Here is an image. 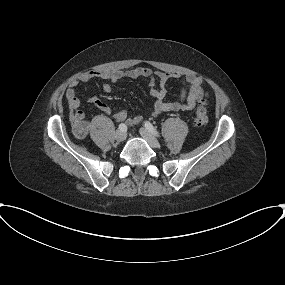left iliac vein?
Instances as JSON below:
<instances>
[{"label": "left iliac vein", "instance_id": "obj_1", "mask_svg": "<svg viewBox=\"0 0 285 285\" xmlns=\"http://www.w3.org/2000/svg\"><path fill=\"white\" fill-rule=\"evenodd\" d=\"M140 134L152 148L159 147L158 140L147 129L141 128Z\"/></svg>", "mask_w": 285, "mask_h": 285}]
</instances>
